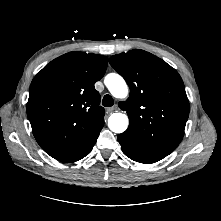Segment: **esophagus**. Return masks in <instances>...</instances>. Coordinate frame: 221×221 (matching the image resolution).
Here are the masks:
<instances>
[{"label": "esophagus", "instance_id": "34e87169", "mask_svg": "<svg viewBox=\"0 0 221 221\" xmlns=\"http://www.w3.org/2000/svg\"><path fill=\"white\" fill-rule=\"evenodd\" d=\"M117 110H118V106H117V105H115V106L110 107V108L107 109V111H108L109 113L115 112V111H117Z\"/></svg>", "mask_w": 221, "mask_h": 221}]
</instances>
